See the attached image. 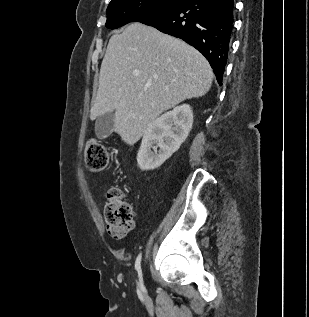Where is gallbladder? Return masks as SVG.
I'll use <instances>...</instances> for the list:
<instances>
[{
	"label": "gallbladder",
	"instance_id": "bac80fb5",
	"mask_svg": "<svg viewBox=\"0 0 309 317\" xmlns=\"http://www.w3.org/2000/svg\"><path fill=\"white\" fill-rule=\"evenodd\" d=\"M114 128V112L99 116L95 122V133L99 139L107 138Z\"/></svg>",
	"mask_w": 309,
	"mask_h": 317
}]
</instances>
